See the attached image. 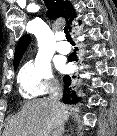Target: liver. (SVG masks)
<instances>
[{
    "label": "liver",
    "instance_id": "obj_1",
    "mask_svg": "<svg viewBox=\"0 0 117 136\" xmlns=\"http://www.w3.org/2000/svg\"><path fill=\"white\" fill-rule=\"evenodd\" d=\"M66 109L65 104L46 98L27 101L21 111L8 120L4 136H49L68 119Z\"/></svg>",
    "mask_w": 117,
    "mask_h": 136
}]
</instances>
